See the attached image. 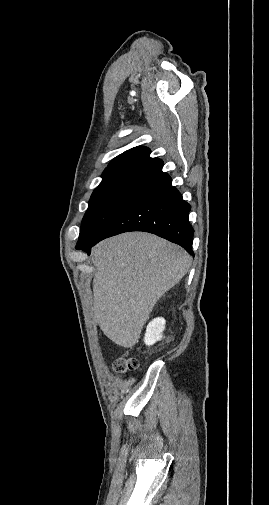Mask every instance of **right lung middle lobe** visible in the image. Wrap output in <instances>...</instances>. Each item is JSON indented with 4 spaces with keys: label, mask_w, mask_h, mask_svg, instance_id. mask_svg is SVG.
<instances>
[{
    "label": "right lung middle lobe",
    "mask_w": 269,
    "mask_h": 505,
    "mask_svg": "<svg viewBox=\"0 0 269 505\" xmlns=\"http://www.w3.org/2000/svg\"><path fill=\"white\" fill-rule=\"evenodd\" d=\"M138 191L129 187H99L91 195L76 249L91 244L118 210Z\"/></svg>",
    "instance_id": "dd1d6c3e"
}]
</instances>
